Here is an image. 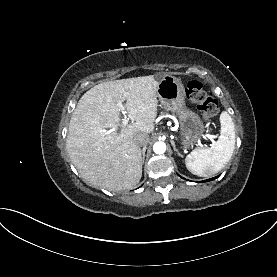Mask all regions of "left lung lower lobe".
<instances>
[{"mask_svg":"<svg viewBox=\"0 0 277 277\" xmlns=\"http://www.w3.org/2000/svg\"><path fill=\"white\" fill-rule=\"evenodd\" d=\"M216 177H214V178H211V179H208V180H206V181H211V180H214Z\"/></svg>","mask_w":277,"mask_h":277,"instance_id":"1","label":"left lung lower lobe"}]
</instances>
